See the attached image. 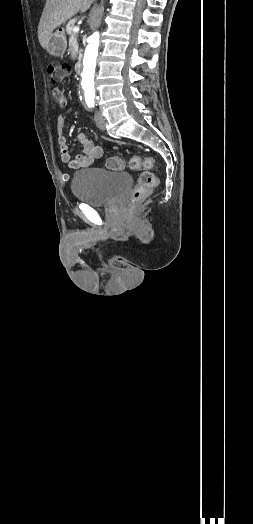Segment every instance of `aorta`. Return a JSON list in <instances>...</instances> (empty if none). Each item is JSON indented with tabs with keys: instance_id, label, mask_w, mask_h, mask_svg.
I'll return each mask as SVG.
<instances>
[{
	"instance_id": "762f6f07",
	"label": "aorta",
	"mask_w": 253,
	"mask_h": 524,
	"mask_svg": "<svg viewBox=\"0 0 253 524\" xmlns=\"http://www.w3.org/2000/svg\"><path fill=\"white\" fill-rule=\"evenodd\" d=\"M98 47H99V33L94 32L88 38V45L86 47L84 59H83L81 86L84 90L86 101L94 100V96H95L94 74H95L96 58L98 55Z\"/></svg>"
}]
</instances>
